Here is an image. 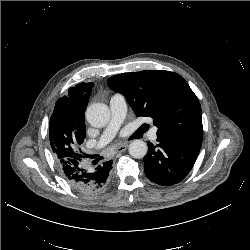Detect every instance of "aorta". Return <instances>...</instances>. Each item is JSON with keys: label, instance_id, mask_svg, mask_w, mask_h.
Returning <instances> with one entry per match:
<instances>
[{"label": "aorta", "instance_id": "1", "mask_svg": "<svg viewBox=\"0 0 250 250\" xmlns=\"http://www.w3.org/2000/svg\"><path fill=\"white\" fill-rule=\"evenodd\" d=\"M86 118L92 126L103 127L110 120V110L104 103H94L87 108ZM147 151V144L142 140H134L129 145V154L134 158H143L147 154Z\"/></svg>", "mask_w": 250, "mask_h": 250}]
</instances>
